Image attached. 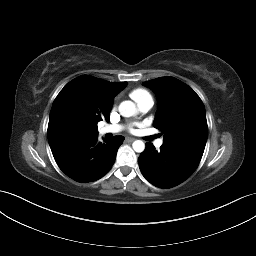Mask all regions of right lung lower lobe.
Segmentation results:
<instances>
[{
	"instance_id": "obj_1",
	"label": "right lung lower lobe",
	"mask_w": 256,
	"mask_h": 256,
	"mask_svg": "<svg viewBox=\"0 0 256 256\" xmlns=\"http://www.w3.org/2000/svg\"><path fill=\"white\" fill-rule=\"evenodd\" d=\"M97 135L79 137L51 148L60 169L78 182H91L103 177L115 162L123 136L97 142Z\"/></svg>"
}]
</instances>
